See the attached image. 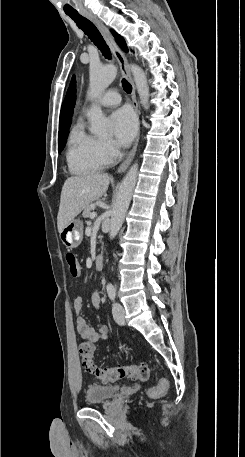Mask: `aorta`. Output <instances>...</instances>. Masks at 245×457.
<instances>
[{"label": "aorta", "mask_w": 245, "mask_h": 457, "mask_svg": "<svg viewBox=\"0 0 245 457\" xmlns=\"http://www.w3.org/2000/svg\"><path fill=\"white\" fill-rule=\"evenodd\" d=\"M130 69L134 77L141 103L145 109H148L149 88L147 77L144 71L137 65H131ZM116 75L117 69L115 65L91 67L88 92L89 97L92 100H96L114 81ZM87 115L90 120L92 132L98 135H102L107 131L109 120L104 116L101 108L97 104H92V107L88 111ZM137 173L138 164L135 163L129 169L120 184L110 219L109 237L111 240L118 234L123 224L125 215L131 202L133 190L136 185Z\"/></svg>", "instance_id": "obj_1"}]
</instances>
